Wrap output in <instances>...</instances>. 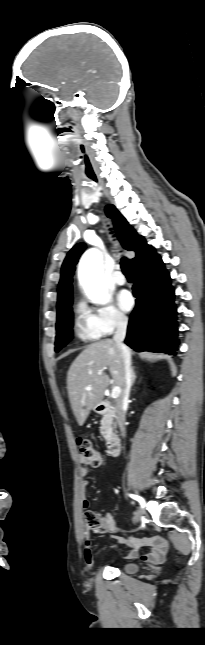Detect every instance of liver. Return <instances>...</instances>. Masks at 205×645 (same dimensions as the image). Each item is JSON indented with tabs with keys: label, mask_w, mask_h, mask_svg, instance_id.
<instances>
[{
	"label": "liver",
	"mask_w": 205,
	"mask_h": 645,
	"mask_svg": "<svg viewBox=\"0 0 205 645\" xmlns=\"http://www.w3.org/2000/svg\"><path fill=\"white\" fill-rule=\"evenodd\" d=\"M109 370L111 377L98 372ZM110 382L124 387L121 351L112 339L89 344L73 361L67 374V390L71 408L79 426H83L90 411L104 398ZM90 387V389H87Z\"/></svg>",
	"instance_id": "liver-1"
}]
</instances>
